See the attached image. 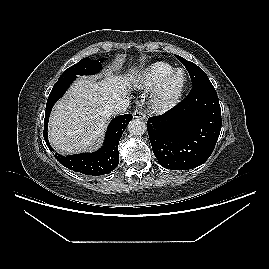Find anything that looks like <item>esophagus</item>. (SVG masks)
<instances>
[{
	"label": "esophagus",
	"instance_id": "esophagus-1",
	"mask_svg": "<svg viewBox=\"0 0 269 269\" xmlns=\"http://www.w3.org/2000/svg\"><path fill=\"white\" fill-rule=\"evenodd\" d=\"M133 117L140 120L146 119L145 114L141 110H138V109L133 112Z\"/></svg>",
	"mask_w": 269,
	"mask_h": 269
}]
</instances>
